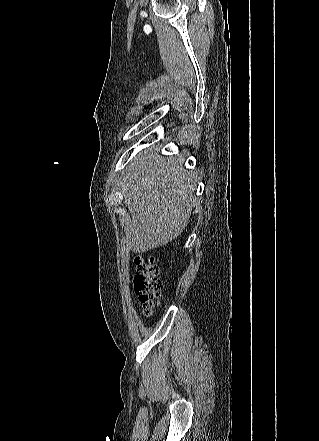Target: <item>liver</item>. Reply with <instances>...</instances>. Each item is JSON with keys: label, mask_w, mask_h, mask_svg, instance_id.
I'll return each instance as SVG.
<instances>
[{"label": "liver", "mask_w": 319, "mask_h": 441, "mask_svg": "<svg viewBox=\"0 0 319 441\" xmlns=\"http://www.w3.org/2000/svg\"><path fill=\"white\" fill-rule=\"evenodd\" d=\"M183 164L184 159L166 158L154 146L129 164L123 194L130 212L126 244L133 252L164 246L187 225L197 201V183Z\"/></svg>", "instance_id": "obj_1"}]
</instances>
